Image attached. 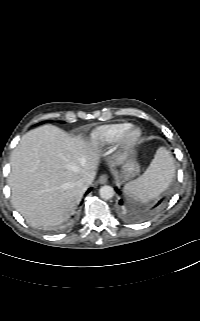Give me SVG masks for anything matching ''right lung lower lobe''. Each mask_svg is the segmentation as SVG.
<instances>
[{
  "label": "right lung lower lobe",
  "instance_id": "98d812e1",
  "mask_svg": "<svg viewBox=\"0 0 200 321\" xmlns=\"http://www.w3.org/2000/svg\"><path fill=\"white\" fill-rule=\"evenodd\" d=\"M90 190H91V188L86 192V194H87V193H89V192H90Z\"/></svg>",
  "mask_w": 200,
  "mask_h": 321
}]
</instances>
